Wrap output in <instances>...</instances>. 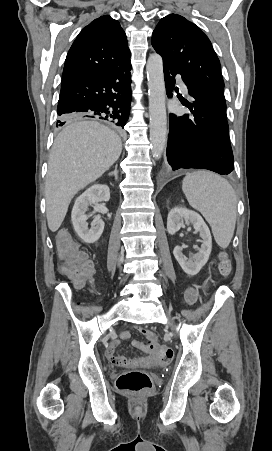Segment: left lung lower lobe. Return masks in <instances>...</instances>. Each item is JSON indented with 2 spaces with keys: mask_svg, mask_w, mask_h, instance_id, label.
Masks as SVG:
<instances>
[{
  "mask_svg": "<svg viewBox=\"0 0 272 451\" xmlns=\"http://www.w3.org/2000/svg\"><path fill=\"white\" fill-rule=\"evenodd\" d=\"M163 69L167 96L172 97L174 77L180 72L165 62ZM182 80L194 98V102L190 104L193 116L177 117L170 114L167 161L173 171L197 168L227 175L234 169V158L226 108L183 77Z\"/></svg>",
  "mask_w": 272,
  "mask_h": 451,
  "instance_id": "obj_1",
  "label": "left lung lower lobe"
}]
</instances>
